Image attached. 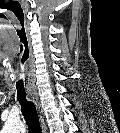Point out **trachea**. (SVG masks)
Masks as SVG:
<instances>
[{
  "mask_svg": "<svg viewBox=\"0 0 120 133\" xmlns=\"http://www.w3.org/2000/svg\"><path fill=\"white\" fill-rule=\"evenodd\" d=\"M17 98L22 107V113L28 126L29 133H42L39 116L35 105L26 100L24 88H17Z\"/></svg>",
  "mask_w": 120,
  "mask_h": 133,
  "instance_id": "1",
  "label": "trachea"
}]
</instances>
